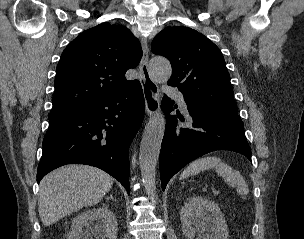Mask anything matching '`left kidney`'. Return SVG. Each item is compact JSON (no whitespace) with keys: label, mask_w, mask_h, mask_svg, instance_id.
Returning <instances> with one entry per match:
<instances>
[{"label":"left kidney","mask_w":304,"mask_h":239,"mask_svg":"<svg viewBox=\"0 0 304 239\" xmlns=\"http://www.w3.org/2000/svg\"><path fill=\"white\" fill-rule=\"evenodd\" d=\"M210 213V214H209ZM180 219L186 237L193 239H228L229 230L219 206L200 196L189 198L181 209ZM205 231L212 233L205 234Z\"/></svg>","instance_id":"left-kidney-1"}]
</instances>
